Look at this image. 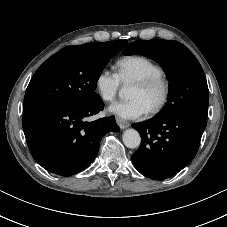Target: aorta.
Listing matches in <instances>:
<instances>
[{"label": "aorta", "instance_id": "1", "mask_svg": "<svg viewBox=\"0 0 227 227\" xmlns=\"http://www.w3.org/2000/svg\"><path fill=\"white\" fill-rule=\"evenodd\" d=\"M119 96L122 99H126L129 96V87L123 85L119 91ZM123 143L127 148L135 149L141 144V137L138 131L135 129H127L122 135Z\"/></svg>", "mask_w": 227, "mask_h": 227}]
</instances>
